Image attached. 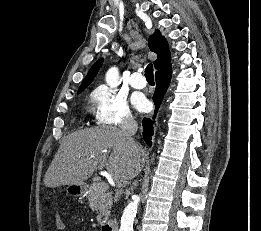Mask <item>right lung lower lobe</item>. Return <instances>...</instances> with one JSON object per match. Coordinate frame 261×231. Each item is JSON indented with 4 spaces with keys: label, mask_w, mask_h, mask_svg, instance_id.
I'll list each match as a JSON object with an SVG mask.
<instances>
[{
    "label": "right lung lower lobe",
    "mask_w": 261,
    "mask_h": 231,
    "mask_svg": "<svg viewBox=\"0 0 261 231\" xmlns=\"http://www.w3.org/2000/svg\"><path fill=\"white\" fill-rule=\"evenodd\" d=\"M171 66L166 67L160 71H158L155 74V79H156V90L153 96V101L155 104V115L153 117V119H155L156 113L158 111V108L162 102V99L167 91V88L169 86L170 83V79H171ZM143 138L144 141L146 142V144L148 146H151V139H152V135H153V125H154V121L152 119L149 118H144L143 119Z\"/></svg>",
    "instance_id": "obj_1"
}]
</instances>
